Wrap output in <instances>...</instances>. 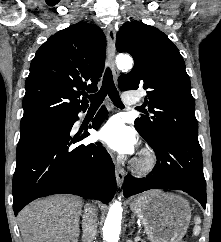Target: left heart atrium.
<instances>
[{"label":"left heart atrium","instance_id":"1","mask_svg":"<svg viewBox=\"0 0 221 242\" xmlns=\"http://www.w3.org/2000/svg\"><path fill=\"white\" fill-rule=\"evenodd\" d=\"M98 138L119 153L130 154L135 150V133L120 117H113L108 120L100 128Z\"/></svg>","mask_w":221,"mask_h":242}]
</instances>
